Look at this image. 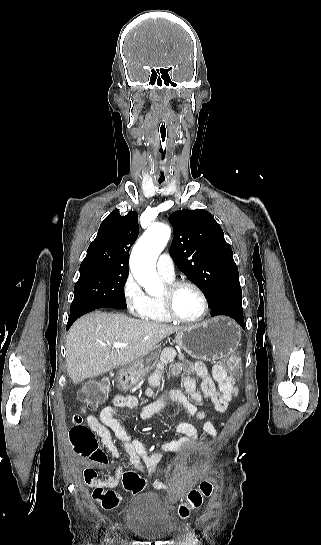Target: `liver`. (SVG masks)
Returning a JSON list of instances; mask_svg holds the SVG:
<instances>
[{
    "label": "liver",
    "mask_w": 321,
    "mask_h": 545,
    "mask_svg": "<svg viewBox=\"0 0 321 545\" xmlns=\"http://www.w3.org/2000/svg\"><path fill=\"white\" fill-rule=\"evenodd\" d=\"M182 329L114 313H89L78 319L68 333L67 373L73 383L99 377L148 355L157 343ZM113 343H126L128 347L114 349Z\"/></svg>",
    "instance_id": "liver-1"
}]
</instances>
